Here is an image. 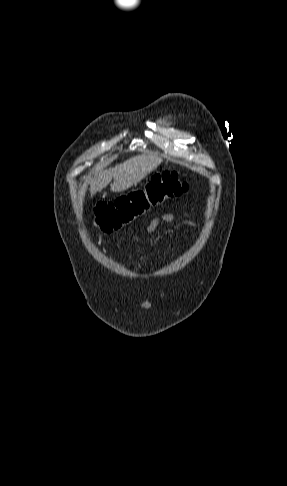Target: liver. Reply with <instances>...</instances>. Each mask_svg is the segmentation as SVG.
<instances>
[{"instance_id": "obj_1", "label": "liver", "mask_w": 287, "mask_h": 486, "mask_svg": "<svg viewBox=\"0 0 287 486\" xmlns=\"http://www.w3.org/2000/svg\"><path fill=\"white\" fill-rule=\"evenodd\" d=\"M162 159L156 156L139 155L116 165L114 168L97 171L91 184V197L102 191L113 179L112 192H121L137 185L150 172L157 168Z\"/></svg>"}]
</instances>
